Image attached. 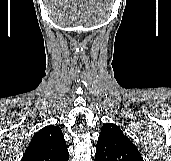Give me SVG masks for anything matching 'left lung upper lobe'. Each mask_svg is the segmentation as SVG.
Returning <instances> with one entry per match:
<instances>
[{
	"label": "left lung upper lobe",
	"instance_id": "obj_1",
	"mask_svg": "<svg viewBox=\"0 0 171 161\" xmlns=\"http://www.w3.org/2000/svg\"><path fill=\"white\" fill-rule=\"evenodd\" d=\"M95 161H143L137 147L113 124H104L97 141Z\"/></svg>",
	"mask_w": 171,
	"mask_h": 161
}]
</instances>
